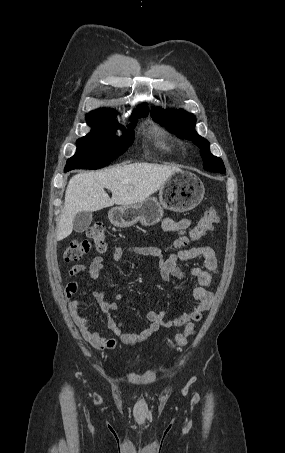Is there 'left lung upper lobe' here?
<instances>
[{
	"label": "left lung upper lobe",
	"instance_id": "1",
	"mask_svg": "<svg viewBox=\"0 0 285 453\" xmlns=\"http://www.w3.org/2000/svg\"><path fill=\"white\" fill-rule=\"evenodd\" d=\"M152 118L172 133H176L182 139L192 140L200 148L201 157L204 161L203 168L212 172L225 173L222 159L210 153L209 142L198 135L195 131V116L183 110H162L155 108L151 112Z\"/></svg>",
	"mask_w": 285,
	"mask_h": 453
}]
</instances>
